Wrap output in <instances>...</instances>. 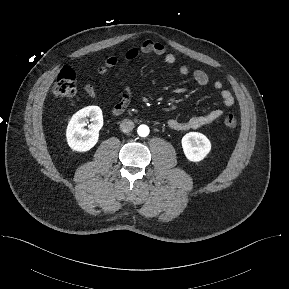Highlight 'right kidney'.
Returning a JSON list of instances; mask_svg holds the SVG:
<instances>
[{
  "mask_svg": "<svg viewBox=\"0 0 289 289\" xmlns=\"http://www.w3.org/2000/svg\"><path fill=\"white\" fill-rule=\"evenodd\" d=\"M89 119L92 123L86 129ZM102 126L103 115L98 106H88L79 110L72 116L66 129L68 145L74 151H89L98 142Z\"/></svg>",
  "mask_w": 289,
  "mask_h": 289,
  "instance_id": "ca27d5eb",
  "label": "right kidney"
}]
</instances>
